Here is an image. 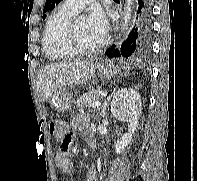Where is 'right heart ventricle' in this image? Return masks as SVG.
<instances>
[{"instance_id":"obj_1","label":"right heart ventricle","mask_w":197,"mask_h":181,"mask_svg":"<svg viewBox=\"0 0 197 181\" xmlns=\"http://www.w3.org/2000/svg\"><path fill=\"white\" fill-rule=\"evenodd\" d=\"M74 14L62 6L48 18L43 34V49L48 59L66 60L76 56L66 44L67 29Z\"/></svg>"}]
</instances>
